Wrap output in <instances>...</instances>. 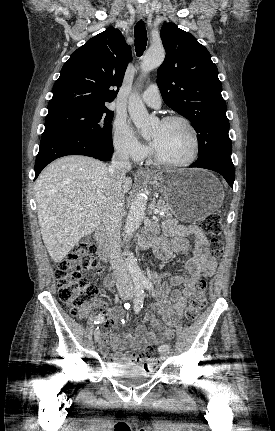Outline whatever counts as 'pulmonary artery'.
<instances>
[{
    "instance_id": "e3ab8cb5",
    "label": "pulmonary artery",
    "mask_w": 275,
    "mask_h": 431,
    "mask_svg": "<svg viewBox=\"0 0 275 431\" xmlns=\"http://www.w3.org/2000/svg\"><path fill=\"white\" fill-rule=\"evenodd\" d=\"M143 101L150 107L159 108L161 105V95L157 85L149 86L142 94Z\"/></svg>"
}]
</instances>
